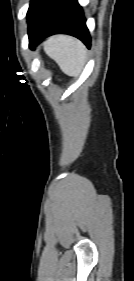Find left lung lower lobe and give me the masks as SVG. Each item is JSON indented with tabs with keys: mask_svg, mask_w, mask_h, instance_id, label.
Wrapping results in <instances>:
<instances>
[{
	"mask_svg": "<svg viewBox=\"0 0 134 281\" xmlns=\"http://www.w3.org/2000/svg\"><path fill=\"white\" fill-rule=\"evenodd\" d=\"M54 33L75 36L90 48L86 20L77 0H40L29 18L30 48Z\"/></svg>",
	"mask_w": 134,
	"mask_h": 281,
	"instance_id": "1",
	"label": "left lung lower lobe"
}]
</instances>
